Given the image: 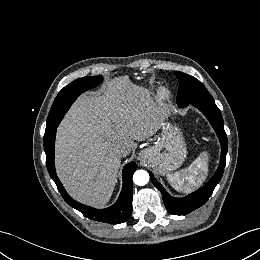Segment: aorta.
<instances>
[{
  "label": "aorta",
  "instance_id": "762f6f07",
  "mask_svg": "<svg viewBox=\"0 0 260 260\" xmlns=\"http://www.w3.org/2000/svg\"><path fill=\"white\" fill-rule=\"evenodd\" d=\"M149 180V175L144 170H138L133 175V182L136 185L143 186L145 185Z\"/></svg>",
  "mask_w": 260,
  "mask_h": 260
}]
</instances>
